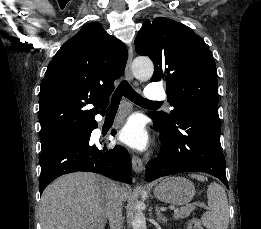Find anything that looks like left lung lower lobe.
<instances>
[{
    "label": "left lung lower lobe",
    "instance_id": "left-lung-lower-lobe-1",
    "mask_svg": "<svg viewBox=\"0 0 261 229\" xmlns=\"http://www.w3.org/2000/svg\"><path fill=\"white\" fill-rule=\"evenodd\" d=\"M151 117L154 129L160 133L162 146L158 158L146 165V181L180 172L200 171L219 178L229 188L219 120L203 114H190L175 130H167L156 117Z\"/></svg>",
    "mask_w": 261,
    "mask_h": 229
}]
</instances>
